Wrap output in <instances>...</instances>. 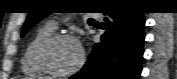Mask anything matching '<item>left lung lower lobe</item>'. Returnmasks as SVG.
Masks as SVG:
<instances>
[{"label": "left lung lower lobe", "instance_id": "left-lung-lower-lobe-1", "mask_svg": "<svg viewBox=\"0 0 177 79\" xmlns=\"http://www.w3.org/2000/svg\"><path fill=\"white\" fill-rule=\"evenodd\" d=\"M106 32L82 70L70 79H139L143 55L142 12H105Z\"/></svg>", "mask_w": 177, "mask_h": 79}]
</instances>
